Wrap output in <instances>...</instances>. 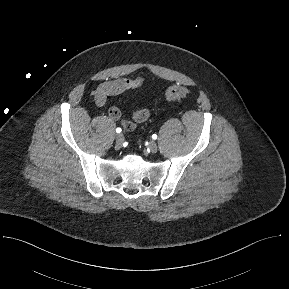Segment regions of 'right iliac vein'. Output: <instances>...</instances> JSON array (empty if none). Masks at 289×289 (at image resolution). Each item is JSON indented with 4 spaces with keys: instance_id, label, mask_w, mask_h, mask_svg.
<instances>
[{
    "instance_id": "63e3f726",
    "label": "right iliac vein",
    "mask_w": 289,
    "mask_h": 289,
    "mask_svg": "<svg viewBox=\"0 0 289 289\" xmlns=\"http://www.w3.org/2000/svg\"><path fill=\"white\" fill-rule=\"evenodd\" d=\"M123 142H124V136H123V134H118V135L116 136V145H117L118 147H120V146L123 144Z\"/></svg>"
}]
</instances>
